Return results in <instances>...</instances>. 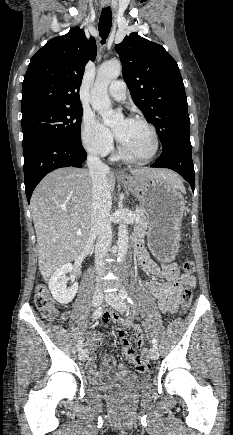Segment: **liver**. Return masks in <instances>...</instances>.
<instances>
[{
  "mask_svg": "<svg viewBox=\"0 0 233 435\" xmlns=\"http://www.w3.org/2000/svg\"><path fill=\"white\" fill-rule=\"evenodd\" d=\"M133 176L160 178L184 190L181 178L171 170L143 168ZM110 192L116 177L106 175ZM92 181L89 171L59 168L52 171L34 190L30 209L37 237L39 270L44 280L73 261L86 247L91 225ZM80 230L81 235L76 232Z\"/></svg>",
  "mask_w": 233,
  "mask_h": 435,
  "instance_id": "obj_1",
  "label": "liver"
}]
</instances>
